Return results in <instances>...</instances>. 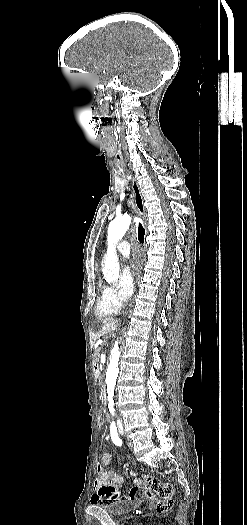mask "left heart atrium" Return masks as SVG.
<instances>
[{
    "instance_id": "left-heart-atrium-1",
    "label": "left heart atrium",
    "mask_w": 247,
    "mask_h": 525,
    "mask_svg": "<svg viewBox=\"0 0 247 525\" xmlns=\"http://www.w3.org/2000/svg\"><path fill=\"white\" fill-rule=\"evenodd\" d=\"M146 265V258L142 251L135 250L131 256L129 265L124 266L122 271V290L125 298L129 297L135 285L136 278L140 277Z\"/></svg>"
}]
</instances>
